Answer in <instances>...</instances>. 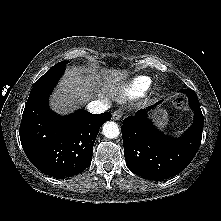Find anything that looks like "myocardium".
<instances>
[{
    "mask_svg": "<svg viewBox=\"0 0 221 221\" xmlns=\"http://www.w3.org/2000/svg\"><path fill=\"white\" fill-rule=\"evenodd\" d=\"M162 90V87L159 85V84H155V86H154V92L155 93H158V92H160Z\"/></svg>",
    "mask_w": 221,
    "mask_h": 221,
    "instance_id": "obj_1",
    "label": "myocardium"
}]
</instances>
